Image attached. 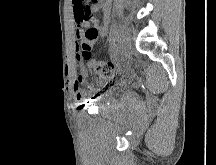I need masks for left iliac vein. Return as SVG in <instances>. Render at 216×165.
<instances>
[{
    "mask_svg": "<svg viewBox=\"0 0 216 165\" xmlns=\"http://www.w3.org/2000/svg\"><path fill=\"white\" fill-rule=\"evenodd\" d=\"M114 39L117 40L118 43V52L121 53L124 51L131 40L130 29L126 25H120L116 30Z\"/></svg>",
    "mask_w": 216,
    "mask_h": 165,
    "instance_id": "1",
    "label": "left iliac vein"
}]
</instances>
